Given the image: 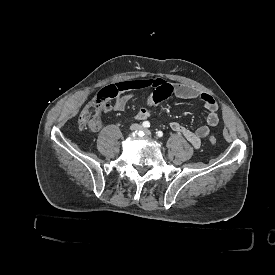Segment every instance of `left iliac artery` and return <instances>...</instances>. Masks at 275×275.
<instances>
[{
    "label": "left iliac artery",
    "mask_w": 275,
    "mask_h": 275,
    "mask_svg": "<svg viewBox=\"0 0 275 275\" xmlns=\"http://www.w3.org/2000/svg\"><path fill=\"white\" fill-rule=\"evenodd\" d=\"M156 135H157L158 137H162V136H163V132H162V131H157V132H156Z\"/></svg>",
    "instance_id": "1"
}]
</instances>
